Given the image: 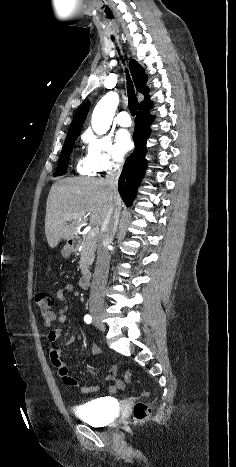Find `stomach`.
Instances as JSON below:
<instances>
[{
	"mask_svg": "<svg viewBox=\"0 0 236 467\" xmlns=\"http://www.w3.org/2000/svg\"><path fill=\"white\" fill-rule=\"evenodd\" d=\"M74 250L75 249L72 245L66 244L61 250V254L63 257L68 258Z\"/></svg>",
	"mask_w": 236,
	"mask_h": 467,
	"instance_id": "obj_1",
	"label": "stomach"
}]
</instances>
